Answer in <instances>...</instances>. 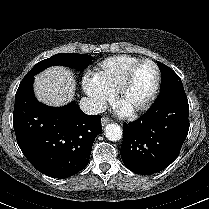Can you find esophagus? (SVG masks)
<instances>
[{"mask_svg":"<svg viewBox=\"0 0 209 209\" xmlns=\"http://www.w3.org/2000/svg\"><path fill=\"white\" fill-rule=\"evenodd\" d=\"M110 121H111V120H110L109 118L103 117V118L101 119V125H102V127L106 126Z\"/></svg>","mask_w":209,"mask_h":209,"instance_id":"1","label":"esophagus"}]
</instances>
